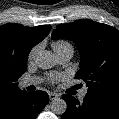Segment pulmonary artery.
<instances>
[{
    "label": "pulmonary artery",
    "mask_w": 119,
    "mask_h": 119,
    "mask_svg": "<svg viewBox=\"0 0 119 119\" xmlns=\"http://www.w3.org/2000/svg\"><path fill=\"white\" fill-rule=\"evenodd\" d=\"M57 58L60 63H66L68 62L72 56H73V49H65L62 50L58 53H56ZM40 82L39 78L37 77H32V78H25L21 81V86L22 87H28L31 85H36ZM87 93V90H82L81 93L79 94V98L83 99Z\"/></svg>",
    "instance_id": "pulmonary-artery-1"
}]
</instances>
